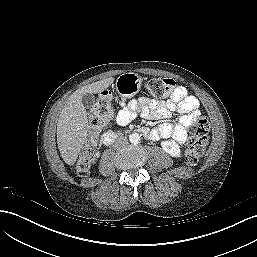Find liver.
<instances>
[{"mask_svg": "<svg viewBox=\"0 0 257 257\" xmlns=\"http://www.w3.org/2000/svg\"><path fill=\"white\" fill-rule=\"evenodd\" d=\"M114 81L109 77L76 90L64 105L57 123V144L61 157L73 165L87 140L89 130L86 108L82 103L84 93H100Z\"/></svg>", "mask_w": 257, "mask_h": 257, "instance_id": "1", "label": "liver"}]
</instances>
